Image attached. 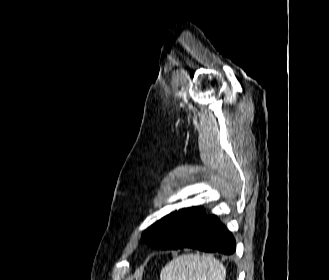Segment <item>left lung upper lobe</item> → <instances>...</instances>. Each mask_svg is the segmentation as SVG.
<instances>
[{
  "label": "left lung upper lobe",
  "mask_w": 329,
  "mask_h": 280,
  "mask_svg": "<svg viewBox=\"0 0 329 280\" xmlns=\"http://www.w3.org/2000/svg\"><path fill=\"white\" fill-rule=\"evenodd\" d=\"M165 218L166 217L162 218L150 228H148L143 233L141 240L155 248L165 247L169 242V238L168 236H165L164 233H162V228L160 227V225L164 223Z\"/></svg>",
  "instance_id": "5c2ea615"
}]
</instances>
